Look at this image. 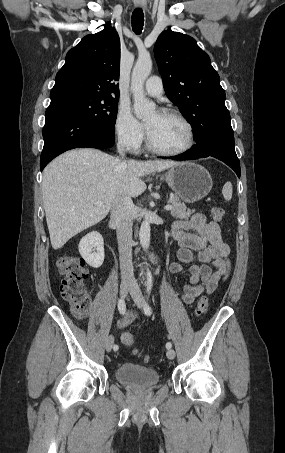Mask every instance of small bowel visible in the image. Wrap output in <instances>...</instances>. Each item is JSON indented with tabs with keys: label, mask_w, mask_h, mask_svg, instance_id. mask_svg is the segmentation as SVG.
<instances>
[{
	"label": "small bowel",
	"mask_w": 285,
	"mask_h": 453,
	"mask_svg": "<svg viewBox=\"0 0 285 453\" xmlns=\"http://www.w3.org/2000/svg\"><path fill=\"white\" fill-rule=\"evenodd\" d=\"M172 234L179 244L178 262L171 263L169 270L178 274L183 271V264H191L188 283L183 287L181 298L184 303L192 304L204 291L214 292L219 283L228 277L231 250L222 239L218 223L207 221L202 213L174 222ZM79 317L84 319L85 315ZM137 317L135 311H128L118 321V328L127 327Z\"/></svg>",
	"instance_id": "c3829d8e"
}]
</instances>
